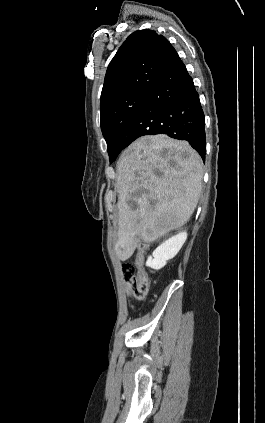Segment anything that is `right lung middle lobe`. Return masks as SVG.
<instances>
[{
    "label": "right lung middle lobe",
    "mask_w": 265,
    "mask_h": 423,
    "mask_svg": "<svg viewBox=\"0 0 265 423\" xmlns=\"http://www.w3.org/2000/svg\"><path fill=\"white\" fill-rule=\"evenodd\" d=\"M150 90L132 92L109 105L101 112V130L112 163L119 154L118 139L128 122L142 105Z\"/></svg>",
    "instance_id": "right-lung-middle-lobe-1"
}]
</instances>
